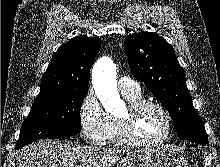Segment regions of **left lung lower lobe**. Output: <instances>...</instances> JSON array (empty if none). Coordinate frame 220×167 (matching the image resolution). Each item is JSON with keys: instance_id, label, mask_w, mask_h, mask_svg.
Instances as JSON below:
<instances>
[{"instance_id": "left-lung-lower-lobe-1", "label": "left lung lower lobe", "mask_w": 220, "mask_h": 167, "mask_svg": "<svg viewBox=\"0 0 220 167\" xmlns=\"http://www.w3.org/2000/svg\"><path fill=\"white\" fill-rule=\"evenodd\" d=\"M193 142L207 144V142H205V141H193Z\"/></svg>"}]
</instances>
